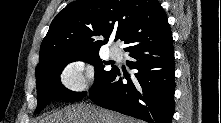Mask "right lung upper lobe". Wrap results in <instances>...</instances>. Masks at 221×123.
I'll list each match as a JSON object with an SVG mask.
<instances>
[{
    "instance_id": "1",
    "label": "right lung upper lobe",
    "mask_w": 221,
    "mask_h": 123,
    "mask_svg": "<svg viewBox=\"0 0 221 123\" xmlns=\"http://www.w3.org/2000/svg\"><path fill=\"white\" fill-rule=\"evenodd\" d=\"M170 34L158 0L75 1L52 21L40 47L37 67L66 56L99 51L114 37L125 41L128 46L124 49L129 50Z\"/></svg>"
}]
</instances>
